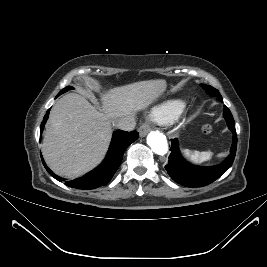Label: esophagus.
I'll return each instance as SVG.
<instances>
[{"label": "esophagus", "instance_id": "34e87169", "mask_svg": "<svg viewBox=\"0 0 267 267\" xmlns=\"http://www.w3.org/2000/svg\"><path fill=\"white\" fill-rule=\"evenodd\" d=\"M150 131V127L148 124L143 123L140 127H139V133L140 136L144 137L146 136V134Z\"/></svg>", "mask_w": 267, "mask_h": 267}]
</instances>
